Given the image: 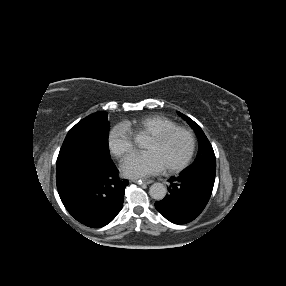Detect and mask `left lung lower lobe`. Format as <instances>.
Returning <instances> with one entry per match:
<instances>
[{"instance_id": "1", "label": "left lung lower lobe", "mask_w": 286, "mask_h": 286, "mask_svg": "<svg viewBox=\"0 0 286 286\" xmlns=\"http://www.w3.org/2000/svg\"><path fill=\"white\" fill-rule=\"evenodd\" d=\"M216 164L184 169L171 177L169 193L155 203L156 209L170 222L185 224L194 220L208 203L215 181Z\"/></svg>"}]
</instances>
